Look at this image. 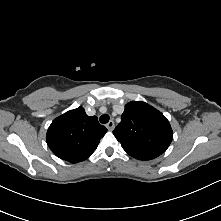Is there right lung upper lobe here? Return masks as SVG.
<instances>
[{"label":"right lung upper lobe","instance_id":"1","mask_svg":"<svg viewBox=\"0 0 221 221\" xmlns=\"http://www.w3.org/2000/svg\"><path fill=\"white\" fill-rule=\"evenodd\" d=\"M106 132L96 116L90 117L84 108L78 107L53 120L46 140L57 157L77 163L91 156Z\"/></svg>","mask_w":221,"mask_h":221}]
</instances>
